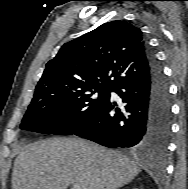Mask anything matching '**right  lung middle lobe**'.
Masks as SVG:
<instances>
[{"label":"right lung middle lobe","mask_w":188,"mask_h":189,"mask_svg":"<svg viewBox=\"0 0 188 189\" xmlns=\"http://www.w3.org/2000/svg\"><path fill=\"white\" fill-rule=\"evenodd\" d=\"M111 89L91 87L34 95L21 129L55 135H72L88 122Z\"/></svg>","instance_id":"1"}]
</instances>
